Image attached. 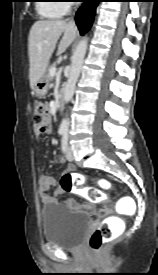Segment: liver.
Wrapping results in <instances>:
<instances>
[{"label": "liver", "mask_w": 158, "mask_h": 275, "mask_svg": "<svg viewBox=\"0 0 158 275\" xmlns=\"http://www.w3.org/2000/svg\"><path fill=\"white\" fill-rule=\"evenodd\" d=\"M63 33L57 55H61L73 43L77 36V27L73 22L61 20L36 21L29 33V79L33 89L35 83L45 74L56 43Z\"/></svg>", "instance_id": "6515ba94"}]
</instances>
